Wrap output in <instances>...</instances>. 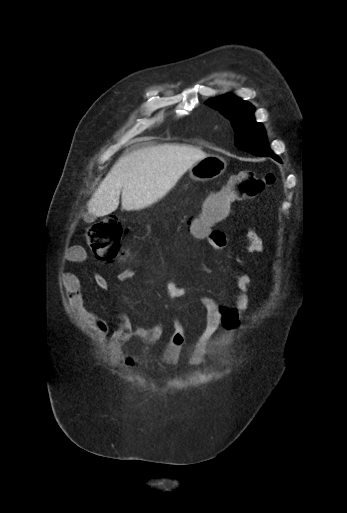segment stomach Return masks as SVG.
Returning a JSON list of instances; mask_svg holds the SVG:
<instances>
[{
  "label": "stomach",
  "mask_w": 347,
  "mask_h": 513,
  "mask_svg": "<svg viewBox=\"0 0 347 513\" xmlns=\"http://www.w3.org/2000/svg\"><path fill=\"white\" fill-rule=\"evenodd\" d=\"M227 167L226 161L217 155H208L197 161L189 169L190 177L195 181H211L221 176Z\"/></svg>",
  "instance_id": "0dacf381"
}]
</instances>
